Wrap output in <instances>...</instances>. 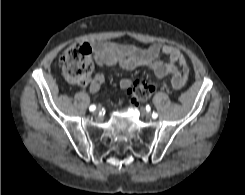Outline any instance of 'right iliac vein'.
Segmentation results:
<instances>
[{"instance_id":"obj_1","label":"right iliac vein","mask_w":245,"mask_h":195,"mask_svg":"<svg viewBox=\"0 0 245 195\" xmlns=\"http://www.w3.org/2000/svg\"><path fill=\"white\" fill-rule=\"evenodd\" d=\"M99 113V109L94 111V114L97 115Z\"/></svg>"}]
</instances>
